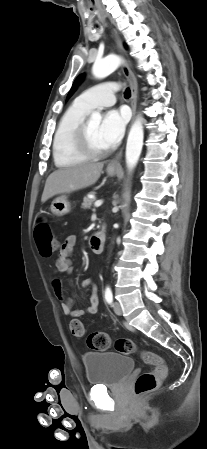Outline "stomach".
Segmentation results:
<instances>
[{"instance_id":"0dacf381","label":"stomach","mask_w":207,"mask_h":449,"mask_svg":"<svg viewBox=\"0 0 207 449\" xmlns=\"http://www.w3.org/2000/svg\"><path fill=\"white\" fill-rule=\"evenodd\" d=\"M119 169L107 168V173L110 176H114L118 173ZM51 212L56 216H64L71 211V203L69 202L66 195L57 197L52 201Z\"/></svg>"}]
</instances>
